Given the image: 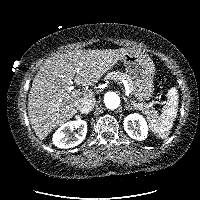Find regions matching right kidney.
Returning <instances> with one entry per match:
<instances>
[{
	"instance_id": "1",
	"label": "right kidney",
	"mask_w": 200,
	"mask_h": 200,
	"mask_svg": "<svg viewBox=\"0 0 200 200\" xmlns=\"http://www.w3.org/2000/svg\"><path fill=\"white\" fill-rule=\"evenodd\" d=\"M77 130L73 135L70 134ZM87 122L84 120L69 121L62 124L53 135V144L58 148H72L79 145L86 137Z\"/></svg>"
}]
</instances>
